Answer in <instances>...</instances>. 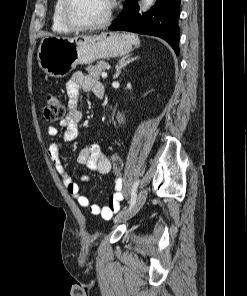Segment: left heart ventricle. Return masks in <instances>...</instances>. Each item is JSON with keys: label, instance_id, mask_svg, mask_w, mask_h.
<instances>
[{"label": "left heart ventricle", "instance_id": "left-heart-ventricle-1", "mask_svg": "<svg viewBox=\"0 0 247 296\" xmlns=\"http://www.w3.org/2000/svg\"><path fill=\"white\" fill-rule=\"evenodd\" d=\"M109 9L108 0H76L73 15L82 24H95L107 16Z\"/></svg>", "mask_w": 247, "mask_h": 296}]
</instances>
